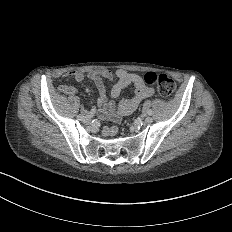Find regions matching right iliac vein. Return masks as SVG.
<instances>
[{"label":"right iliac vein","instance_id":"1","mask_svg":"<svg viewBox=\"0 0 232 232\" xmlns=\"http://www.w3.org/2000/svg\"><path fill=\"white\" fill-rule=\"evenodd\" d=\"M92 123V120L91 119H84L83 121H82V124L84 125V126H87L88 124H91Z\"/></svg>","mask_w":232,"mask_h":232}]
</instances>
